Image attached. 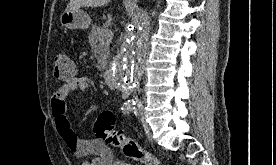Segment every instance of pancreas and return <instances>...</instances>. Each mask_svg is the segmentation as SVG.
<instances>
[{
    "instance_id": "obj_1",
    "label": "pancreas",
    "mask_w": 276,
    "mask_h": 165,
    "mask_svg": "<svg viewBox=\"0 0 276 165\" xmlns=\"http://www.w3.org/2000/svg\"><path fill=\"white\" fill-rule=\"evenodd\" d=\"M103 28L93 25L88 39L94 58L97 60L96 67L99 71H104L107 67V59L109 57L110 37H102Z\"/></svg>"
}]
</instances>
